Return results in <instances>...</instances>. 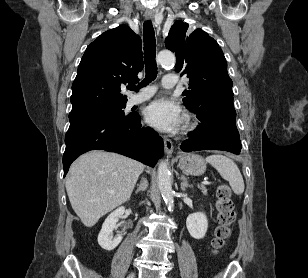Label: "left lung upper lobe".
Here are the masks:
<instances>
[{
	"instance_id": "left-lung-upper-lobe-1",
	"label": "left lung upper lobe",
	"mask_w": 308,
	"mask_h": 278,
	"mask_svg": "<svg viewBox=\"0 0 308 278\" xmlns=\"http://www.w3.org/2000/svg\"><path fill=\"white\" fill-rule=\"evenodd\" d=\"M188 24L176 21L166 38V48L175 52L176 70L190 79L182 95L191 111L219 96L232 95L233 82L227 72V62L218 43L201 29L190 33Z\"/></svg>"
}]
</instances>
